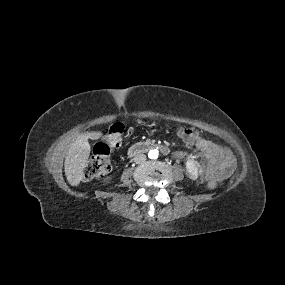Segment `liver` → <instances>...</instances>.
I'll return each instance as SVG.
<instances>
[{"label": "liver", "mask_w": 285, "mask_h": 285, "mask_svg": "<svg viewBox=\"0 0 285 285\" xmlns=\"http://www.w3.org/2000/svg\"><path fill=\"white\" fill-rule=\"evenodd\" d=\"M101 136L100 132L82 133L70 145L64 163L65 175L70 185H79L83 178V170L87 165L91 150L88 140H96Z\"/></svg>", "instance_id": "obj_1"}]
</instances>
